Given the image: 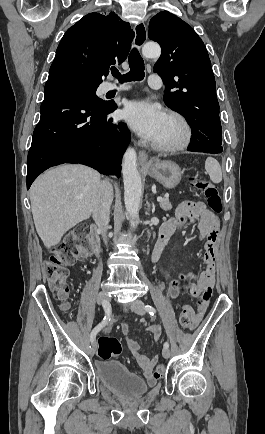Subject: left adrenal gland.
I'll use <instances>...</instances> for the list:
<instances>
[{
    "mask_svg": "<svg viewBox=\"0 0 265 434\" xmlns=\"http://www.w3.org/2000/svg\"><path fill=\"white\" fill-rule=\"evenodd\" d=\"M152 210H153V212H154V210H155V206H154V204H152Z\"/></svg>",
    "mask_w": 265,
    "mask_h": 434,
    "instance_id": "1",
    "label": "left adrenal gland"
}]
</instances>
